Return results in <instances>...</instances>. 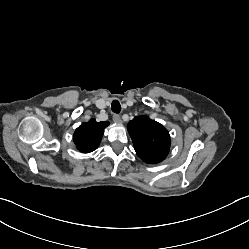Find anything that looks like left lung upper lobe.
I'll return each mask as SVG.
<instances>
[{
	"label": "left lung upper lobe",
	"mask_w": 249,
	"mask_h": 249,
	"mask_svg": "<svg viewBox=\"0 0 249 249\" xmlns=\"http://www.w3.org/2000/svg\"><path fill=\"white\" fill-rule=\"evenodd\" d=\"M127 129L139 158L149 164L163 161L170 149V135L160 123L148 116H138L128 123Z\"/></svg>",
	"instance_id": "5c2ea615"
}]
</instances>
